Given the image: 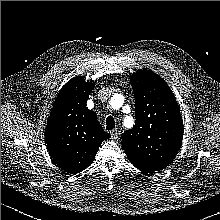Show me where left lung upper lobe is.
Listing matches in <instances>:
<instances>
[{"label": "left lung upper lobe", "mask_w": 220, "mask_h": 220, "mask_svg": "<svg viewBox=\"0 0 220 220\" xmlns=\"http://www.w3.org/2000/svg\"><path fill=\"white\" fill-rule=\"evenodd\" d=\"M136 122L124 132L130 162L145 174L160 172L176 157L183 140L180 108L169 86L151 70L130 75Z\"/></svg>", "instance_id": "obj_1"}]
</instances>
